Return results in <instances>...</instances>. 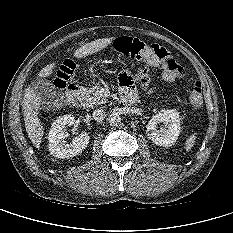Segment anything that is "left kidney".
I'll use <instances>...</instances> for the list:
<instances>
[{
	"mask_svg": "<svg viewBox=\"0 0 233 233\" xmlns=\"http://www.w3.org/2000/svg\"><path fill=\"white\" fill-rule=\"evenodd\" d=\"M164 126L158 130L157 124ZM180 133V115L175 109H163L153 116L146 126L149 139L158 146L170 147L178 139Z\"/></svg>",
	"mask_w": 233,
	"mask_h": 233,
	"instance_id": "obj_1",
	"label": "left kidney"
}]
</instances>
